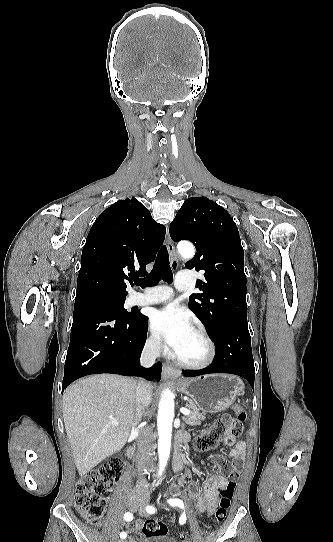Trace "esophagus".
Instances as JSON below:
<instances>
[{
	"instance_id": "1",
	"label": "esophagus",
	"mask_w": 333,
	"mask_h": 542,
	"mask_svg": "<svg viewBox=\"0 0 333 542\" xmlns=\"http://www.w3.org/2000/svg\"><path fill=\"white\" fill-rule=\"evenodd\" d=\"M166 244L170 255V261H171V268L172 270H176L178 268V261L175 256V248L173 241L171 240V237L169 235V230H166ZM181 370L174 368L171 365H168L164 363L163 365V377L164 378H171V377H180Z\"/></svg>"
}]
</instances>
